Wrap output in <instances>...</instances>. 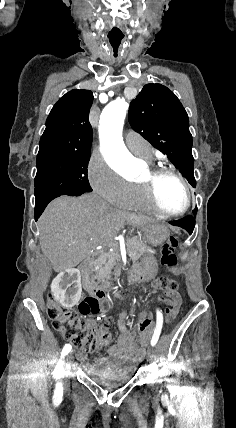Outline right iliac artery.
<instances>
[{"mask_svg": "<svg viewBox=\"0 0 236 428\" xmlns=\"http://www.w3.org/2000/svg\"><path fill=\"white\" fill-rule=\"evenodd\" d=\"M72 346L70 344H66L61 352V359L57 362L55 369L53 371L54 374H64V357L71 351Z\"/></svg>", "mask_w": 236, "mask_h": 428, "instance_id": "82829eb1", "label": "right iliac artery"}]
</instances>
